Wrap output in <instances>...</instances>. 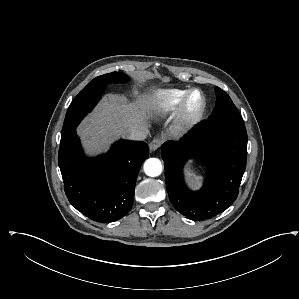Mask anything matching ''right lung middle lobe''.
<instances>
[{"label":"right lung middle lobe","instance_id":"obj_1","mask_svg":"<svg viewBox=\"0 0 299 299\" xmlns=\"http://www.w3.org/2000/svg\"><path fill=\"white\" fill-rule=\"evenodd\" d=\"M128 77L121 72H113L101 75L93 79L87 86L74 98L66 113L61 140H64L75 130L79 122L90 112L102 96L103 89L109 83H122Z\"/></svg>","mask_w":299,"mask_h":299}]
</instances>
